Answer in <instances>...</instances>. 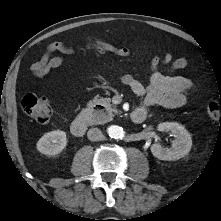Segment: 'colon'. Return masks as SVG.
<instances>
[{"label": "colon", "instance_id": "5ec220e1", "mask_svg": "<svg viewBox=\"0 0 221 221\" xmlns=\"http://www.w3.org/2000/svg\"><path fill=\"white\" fill-rule=\"evenodd\" d=\"M88 46L99 52L108 50L107 43L99 39L91 40ZM220 104L221 101L218 103L215 100H211L207 106L208 118L213 123H221ZM22 108L33 121L39 124L47 123L52 115V108L49 101L35 94H26L23 96Z\"/></svg>", "mask_w": 221, "mask_h": 221}]
</instances>
